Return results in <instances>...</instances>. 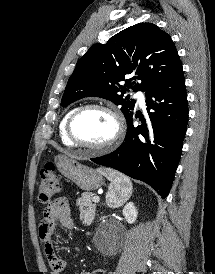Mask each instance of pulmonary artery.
I'll return each mask as SVG.
<instances>
[{"mask_svg":"<svg viewBox=\"0 0 215 274\" xmlns=\"http://www.w3.org/2000/svg\"><path fill=\"white\" fill-rule=\"evenodd\" d=\"M135 96L139 102V105L141 107H144L145 106V96H144L143 92L138 91Z\"/></svg>","mask_w":215,"mask_h":274,"instance_id":"obj_1","label":"pulmonary artery"}]
</instances>
